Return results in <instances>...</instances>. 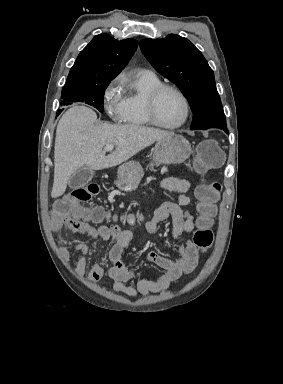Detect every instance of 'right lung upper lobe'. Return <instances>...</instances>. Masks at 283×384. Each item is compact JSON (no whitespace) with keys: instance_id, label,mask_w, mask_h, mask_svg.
I'll use <instances>...</instances> for the list:
<instances>
[{"instance_id":"1","label":"right lung upper lobe","mask_w":283,"mask_h":384,"mask_svg":"<svg viewBox=\"0 0 283 384\" xmlns=\"http://www.w3.org/2000/svg\"><path fill=\"white\" fill-rule=\"evenodd\" d=\"M135 39L118 41L110 35H96L80 52L71 68L65 88L110 83L136 51Z\"/></svg>"}]
</instances>
